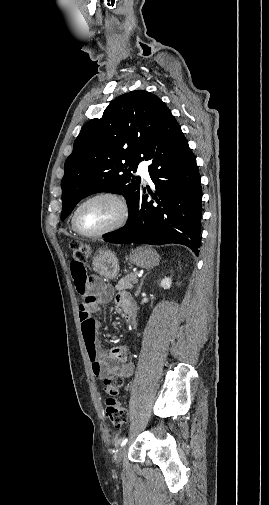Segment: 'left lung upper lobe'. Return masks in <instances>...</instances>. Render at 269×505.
I'll list each match as a JSON object with an SVG mask.
<instances>
[{"label":"left lung upper lobe","mask_w":269,"mask_h":505,"mask_svg":"<svg viewBox=\"0 0 269 505\" xmlns=\"http://www.w3.org/2000/svg\"><path fill=\"white\" fill-rule=\"evenodd\" d=\"M168 112L159 97L135 90L117 97L102 118L82 127L65 162L61 220L80 200L104 191L123 194L131 213L141 188L140 177L131 171L145 159L150 139Z\"/></svg>","instance_id":"5c2ea615"}]
</instances>
